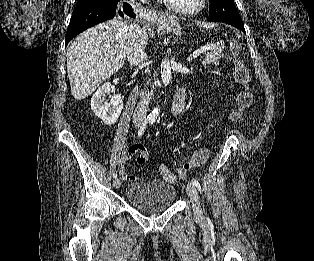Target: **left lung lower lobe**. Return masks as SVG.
Wrapping results in <instances>:
<instances>
[{"instance_id": "obj_1", "label": "left lung lower lobe", "mask_w": 314, "mask_h": 261, "mask_svg": "<svg viewBox=\"0 0 314 261\" xmlns=\"http://www.w3.org/2000/svg\"><path fill=\"white\" fill-rule=\"evenodd\" d=\"M208 21H210V20L208 19ZM224 23L230 24V25L242 30L246 34L245 29H244V25L242 22L230 21V22H224Z\"/></svg>"}]
</instances>
